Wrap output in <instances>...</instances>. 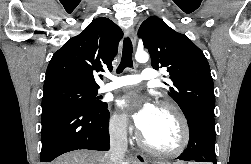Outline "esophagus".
Instances as JSON below:
<instances>
[{
  "label": "esophagus",
  "mask_w": 251,
  "mask_h": 164,
  "mask_svg": "<svg viewBox=\"0 0 251 164\" xmlns=\"http://www.w3.org/2000/svg\"><path fill=\"white\" fill-rule=\"evenodd\" d=\"M127 34L130 37V39L133 43V46H135L136 45V30H135V28L134 27L130 28L128 30ZM134 158L139 164H146L145 156L142 153L135 152Z\"/></svg>",
  "instance_id": "obj_1"
}]
</instances>
